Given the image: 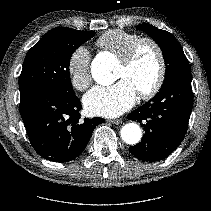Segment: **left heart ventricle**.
<instances>
[{"instance_id": "b2bd125f", "label": "left heart ventricle", "mask_w": 211, "mask_h": 211, "mask_svg": "<svg viewBox=\"0 0 211 211\" xmlns=\"http://www.w3.org/2000/svg\"><path fill=\"white\" fill-rule=\"evenodd\" d=\"M157 73V54L152 46L146 44L141 47L134 63L129 68L118 66L115 80H127L139 93L148 90L153 85Z\"/></svg>"}]
</instances>
